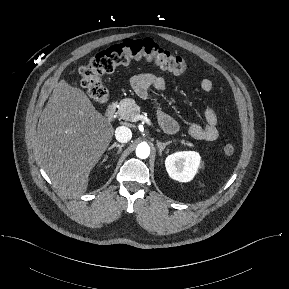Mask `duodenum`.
Returning <instances> with one entry per match:
<instances>
[{"instance_id": "duodenum-1", "label": "duodenum", "mask_w": 289, "mask_h": 289, "mask_svg": "<svg viewBox=\"0 0 289 289\" xmlns=\"http://www.w3.org/2000/svg\"><path fill=\"white\" fill-rule=\"evenodd\" d=\"M116 113V103H110L105 111V118L107 121H111Z\"/></svg>"}]
</instances>
